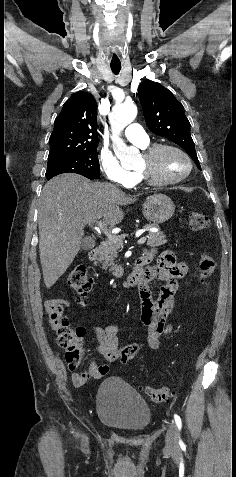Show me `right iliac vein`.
Masks as SVG:
<instances>
[{
    "mask_svg": "<svg viewBox=\"0 0 236 477\" xmlns=\"http://www.w3.org/2000/svg\"><path fill=\"white\" fill-rule=\"evenodd\" d=\"M83 442L86 443L87 442V438L84 436L83 438Z\"/></svg>",
    "mask_w": 236,
    "mask_h": 477,
    "instance_id": "1",
    "label": "right iliac vein"
}]
</instances>
